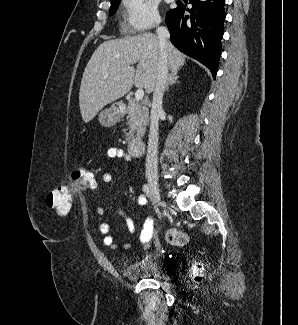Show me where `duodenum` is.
<instances>
[{"instance_id":"duodenum-1","label":"duodenum","mask_w":298,"mask_h":325,"mask_svg":"<svg viewBox=\"0 0 298 325\" xmlns=\"http://www.w3.org/2000/svg\"><path fill=\"white\" fill-rule=\"evenodd\" d=\"M143 103L148 104V100L145 99ZM145 150V142L142 138L133 139L129 143V152L132 156L138 157L144 153Z\"/></svg>"}]
</instances>
